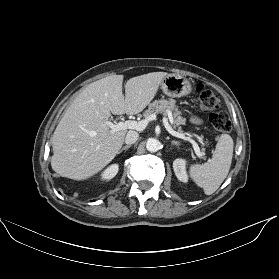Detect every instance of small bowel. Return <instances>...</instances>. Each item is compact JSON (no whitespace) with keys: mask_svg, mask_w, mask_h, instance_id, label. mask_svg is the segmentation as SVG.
<instances>
[{"mask_svg":"<svg viewBox=\"0 0 279 279\" xmlns=\"http://www.w3.org/2000/svg\"><path fill=\"white\" fill-rule=\"evenodd\" d=\"M192 121H193L194 123H200V122H201V119H200L199 117H197V116H194V117H192Z\"/></svg>","mask_w":279,"mask_h":279,"instance_id":"c3829d8e","label":"small bowel"}]
</instances>
